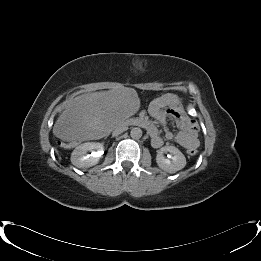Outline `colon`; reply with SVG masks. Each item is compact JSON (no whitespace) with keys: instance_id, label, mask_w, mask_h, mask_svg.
<instances>
[{"instance_id":"colon-1","label":"colon","mask_w":261,"mask_h":261,"mask_svg":"<svg viewBox=\"0 0 261 261\" xmlns=\"http://www.w3.org/2000/svg\"><path fill=\"white\" fill-rule=\"evenodd\" d=\"M197 127V126H196ZM63 147H72V144L71 143H62L61 144ZM187 153L191 156H194L197 154V147H189L187 149Z\"/></svg>"}]
</instances>
